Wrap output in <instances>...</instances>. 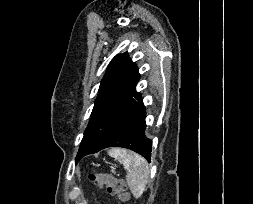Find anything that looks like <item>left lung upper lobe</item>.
Wrapping results in <instances>:
<instances>
[{
    "mask_svg": "<svg viewBox=\"0 0 253 204\" xmlns=\"http://www.w3.org/2000/svg\"><path fill=\"white\" fill-rule=\"evenodd\" d=\"M139 79L137 66L129 59L127 53L114 57L100 83L89 123L130 96L136 90Z\"/></svg>",
    "mask_w": 253,
    "mask_h": 204,
    "instance_id": "left-lung-upper-lobe-1",
    "label": "left lung upper lobe"
}]
</instances>
